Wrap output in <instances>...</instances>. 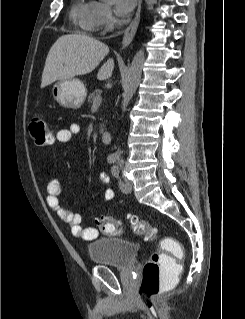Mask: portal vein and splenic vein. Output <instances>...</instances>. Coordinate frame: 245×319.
I'll list each match as a JSON object with an SVG mask.
<instances>
[{"instance_id":"18ae733b","label":"portal vein and splenic vein","mask_w":245,"mask_h":319,"mask_svg":"<svg viewBox=\"0 0 245 319\" xmlns=\"http://www.w3.org/2000/svg\"><path fill=\"white\" fill-rule=\"evenodd\" d=\"M101 102H102V96L100 95L93 100V107L100 106Z\"/></svg>"}]
</instances>
